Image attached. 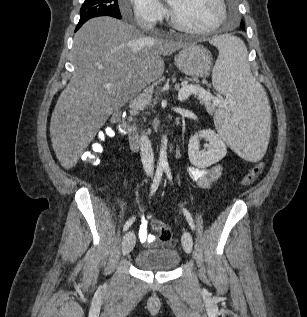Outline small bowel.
<instances>
[{
    "label": "small bowel",
    "instance_id": "c3829d8e",
    "mask_svg": "<svg viewBox=\"0 0 307 317\" xmlns=\"http://www.w3.org/2000/svg\"><path fill=\"white\" fill-rule=\"evenodd\" d=\"M223 167L220 164L214 165L209 168H197L190 167L188 173L190 178L200 188H209L214 182H216L222 176ZM132 219V218H131ZM138 238L142 243L151 244L155 236L148 232V223L143 220L138 232Z\"/></svg>",
    "mask_w": 307,
    "mask_h": 317
}]
</instances>
